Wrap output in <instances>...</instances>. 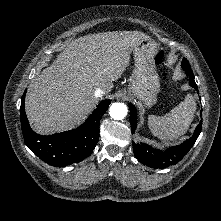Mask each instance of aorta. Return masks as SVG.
Masks as SVG:
<instances>
[{
	"mask_svg": "<svg viewBox=\"0 0 221 221\" xmlns=\"http://www.w3.org/2000/svg\"><path fill=\"white\" fill-rule=\"evenodd\" d=\"M128 112V108L124 103H113L109 109V114L114 120H122Z\"/></svg>",
	"mask_w": 221,
	"mask_h": 221,
	"instance_id": "1",
	"label": "aorta"
}]
</instances>
